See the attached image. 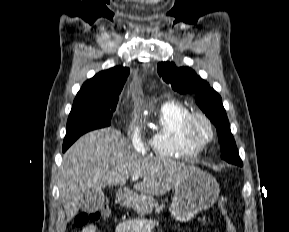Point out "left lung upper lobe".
I'll return each mask as SVG.
<instances>
[{
    "label": "left lung upper lobe",
    "instance_id": "left-lung-upper-lobe-1",
    "mask_svg": "<svg viewBox=\"0 0 289 232\" xmlns=\"http://www.w3.org/2000/svg\"><path fill=\"white\" fill-rule=\"evenodd\" d=\"M157 71L173 90L195 95L196 103L217 128L222 159L242 166L220 95L191 68H178L173 62H160Z\"/></svg>",
    "mask_w": 289,
    "mask_h": 232
}]
</instances>
